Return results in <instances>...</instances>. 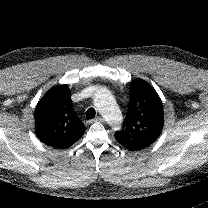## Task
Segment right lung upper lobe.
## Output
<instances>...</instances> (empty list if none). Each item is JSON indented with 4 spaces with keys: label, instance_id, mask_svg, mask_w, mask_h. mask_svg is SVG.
Wrapping results in <instances>:
<instances>
[{
    "label": "right lung upper lobe",
    "instance_id": "obj_1",
    "mask_svg": "<svg viewBox=\"0 0 208 208\" xmlns=\"http://www.w3.org/2000/svg\"><path fill=\"white\" fill-rule=\"evenodd\" d=\"M35 131L38 138L55 149H65L85 132L84 124L73 110L68 85L52 87L35 109Z\"/></svg>",
    "mask_w": 208,
    "mask_h": 208
}]
</instances>
